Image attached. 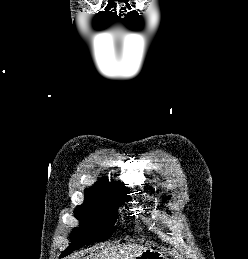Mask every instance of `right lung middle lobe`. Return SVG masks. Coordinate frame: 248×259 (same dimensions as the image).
Segmentation results:
<instances>
[{
    "instance_id": "dd1d6c3e",
    "label": "right lung middle lobe",
    "mask_w": 248,
    "mask_h": 259,
    "mask_svg": "<svg viewBox=\"0 0 248 259\" xmlns=\"http://www.w3.org/2000/svg\"><path fill=\"white\" fill-rule=\"evenodd\" d=\"M129 200L130 197L128 195H123L122 197L99 196L91 199L85 198L84 203L77 206L74 211L75 217L81 221V226L72 231V244L63 252L62 257L84 245L110 238L114 231L118 206Z\"/></svg>"
}]
</instances>
